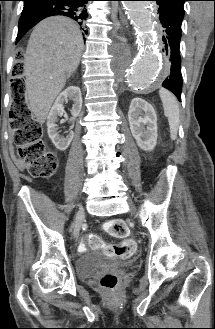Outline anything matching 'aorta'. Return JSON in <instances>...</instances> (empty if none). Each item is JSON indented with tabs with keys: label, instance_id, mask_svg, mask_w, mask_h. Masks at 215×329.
Wrapping results in <instances>:
<instances>
[{
	"label": "aorta",
	"instance_id": "aorta-1",
	"mask_svg": "<svg viewBox=\"0 0 215 329\" xmlns=\"http://www.w3.org/2000/svg\"><path fill=\"white\" fill-rule=\"evenodd\" d=\"M123 6L142 42L139 54L125 64L126 69H131L127 78L131 89L144 91L163 75L162 59L156 47L153 16L145 1H125Z\"/></svg>",
	"mask_w": 215,
	"mask_h": 329
}]
</instances>
